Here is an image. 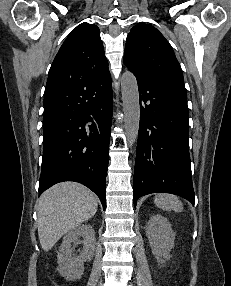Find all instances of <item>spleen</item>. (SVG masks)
<instances>
[{
  "instance_id": "1",
  "label": "spleen",
  "mask_w": 231,
  "mask_h": 286,
  "mask_svg": "<svg viewBox=\"0 0 231 286\" xmlns=\"http://www.w3.org/2000/svg\"><path fill=\"white\" fill-rule=\"evenodd\" d=\"M154 203L162 210L181 212L183 210V204L180 199L173 194L159 193L155 195Z\"/></svg>"
}]
</instances>
